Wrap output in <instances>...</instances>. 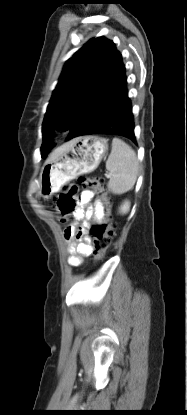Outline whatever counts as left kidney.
<instances>
[{"label":"left kidney","instance_id":"left-kidney-1","mask_svg":"<svg viewBox=\"0 0 187 415\" xmlns=\"http://www.w3.org/2000/svg\"><path fill=\"white\" fill-rule=\"evenodd\" d=\"M129 209H130V202L125 201V202L123 203V205L121 206V208H120V212H122V213H126V212H128V211H129Z\"/></svg>","mask_w":187,"mask_h":415}]
</instances>
